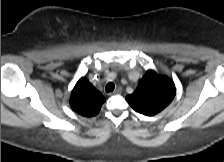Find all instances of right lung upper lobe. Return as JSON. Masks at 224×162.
Listing matches in <instances>:
<instances>
[{
	"mask_svg": "<svg viewBox=\"0 0 224 162\" xmlns=\"http://www.w3.org/2000/svg\"><path fill=\"white\" fill-rule=\"evenodd\" d=\"M104 102L102 94L85 77L79 79L70 97L72 109L85 117L98 114Z\"/></svg>",
	"mask_w": 224,
	"mask_h": 162,
	"instance_id": "obj_1",
	"label": "right lung upper lobe"
}]
</instances>
